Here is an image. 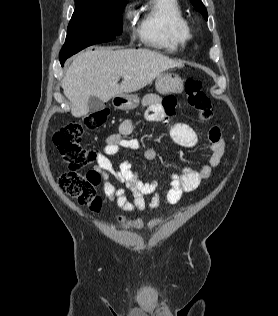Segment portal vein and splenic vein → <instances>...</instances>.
I'll list each match as a JSON object with an SVG mask.
<instances>
[{"label":"portal vein and splenic vein","mask_w":278,"mask_h":316,"mask_svg":"<svg viewBox=\"0 0 278 316\" xmlns=\"http://www.w3.org/2000/svg\"><path fill=\"white\" fill-rule=\"evenodd\" d=\"M131 77L130 76H124V79H130Z\"/></svg>","instance_id":"portal-vein-and-splenic-vein-1"}]
</instances>
